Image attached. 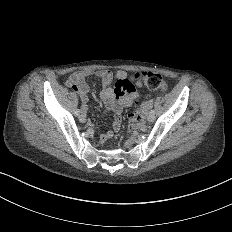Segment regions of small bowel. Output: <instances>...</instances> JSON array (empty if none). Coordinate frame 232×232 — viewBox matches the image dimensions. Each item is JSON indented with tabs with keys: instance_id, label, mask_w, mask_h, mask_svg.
<instances>
[{
	"instance_id": "small-bowel-1",
	"label": "small bowel",
	"mask_w": 232,
	"mask_h": 232,
	"mask_svg": "<svg viewBox=\"0 0 232 232\" xmlns=\"http://www.w3.org/2000/svg\"><path fill=\"white\" fill-rule=\"evenodd\" d=\"M95 76L101 85V97L106 105L115 112L113 120V130L102 134L99 143L103 144L113 136V132L118 131L122 124V112L130 105L131 100L139 96L134 88L133 81L129 78L125 69L117 71L118 80L111 82V72L108 69H77L69 73L65 84L72 87L81 96L82 104L79 110L80 121H85L89 111V95L91 88L85 81L86 77Z\"/></svg>"
}]
</instances>
